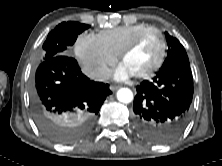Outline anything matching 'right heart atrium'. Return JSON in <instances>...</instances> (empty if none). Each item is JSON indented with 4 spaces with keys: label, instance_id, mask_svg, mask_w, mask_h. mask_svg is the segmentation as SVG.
<instances>
[{
    "label": "right heart atrium",
    "instance_id": "obj_1",
    "mask_svg": "<svg viewBox=\"0 0 222 166\" xmlns=\"http://www.w3.org/2000/svg\"><path fill=\"white\" fill-rule=\"evenodd\" d=\"M75 55L85 72L94 80H104L110 67L115 62V56L107 52L96 36L81 34L75 42Z\"/></svg>",
    "mask_w": 222,
    "mask_h": 166
}]
</instances>
